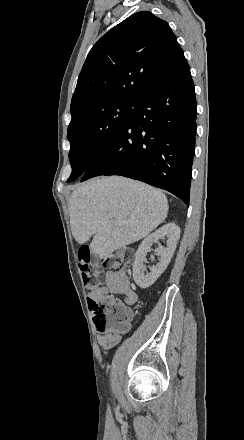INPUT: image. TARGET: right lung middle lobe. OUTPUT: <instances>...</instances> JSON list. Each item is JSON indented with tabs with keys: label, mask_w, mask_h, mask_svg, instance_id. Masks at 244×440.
I'll list each match as a JSON object with an SVG mask.
<instances>
[{
	"label": "right lung middle lobe",
	"mask_w": 244,
	"mask_h": 440,
	"mask_svg": "<svg viewBox=\"0 0 244 440\" xmlns=\"http://www.w3.org/2000/svg\"><path fill=\"white\" fill-rule=\"evenodd\" d=\"M140 98L113 97L83 104L71 110L68 127L72 173L67 182L82 176L100 153L127 125Z\"/></svg>",
	"instance_id": "obj_1"
}]
</instances>
